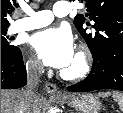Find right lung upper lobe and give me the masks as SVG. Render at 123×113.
I'll list each match as a JSON object with an SVG mask.
<instances>
[{"mask_svg": "<svg viewBox=\"0 0 123 113\" xmlns=\"http://www.w3.org/2000/svg\"><path fill=\"white\" fill-rule=\"evenodd\" d=\"M17 6L16 0H1V28H7L9 26L7 15L11 14Z\"/></svg>", "mask_w": 123, "mask_h": 113, "instance_id": "1", "label": "right lung upper lobe"}]
</instances>
